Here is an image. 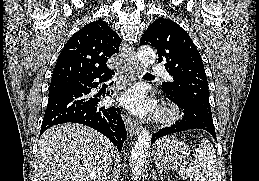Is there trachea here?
<instances>
[{
	"instance_id": "obj_1",
	"label": "trachea",
	"mask_w": 259,
	"mask_h": 181,
	"mask_svg": "<svg viewBox=\"0 0 259 181\" xmlns=\"http://www.w3.org/2000/svg\"><path fill=\"white\" fill-rule=\"evenodd\" d=\"M146 76H153L151 73H145Z\"/></svg>"
}]
</instances>
